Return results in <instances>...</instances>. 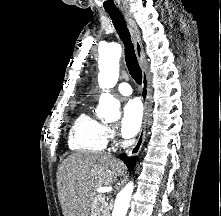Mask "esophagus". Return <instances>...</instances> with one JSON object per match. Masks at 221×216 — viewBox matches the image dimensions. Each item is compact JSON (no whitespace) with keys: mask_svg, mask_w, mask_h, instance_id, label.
Masks as SVG:
<instances>
[{"mask_svg":"<svg viewBox=\"0 0 221 216\" xmlns=\"http://www.w3.org/2000/svg\"><path fill=\"white\" fill-rule=\"evenodd\" d=\"M122 13L126 19L127 26L129 28L132 41L134 44L136 56L141 64L143 75H142V89H141V99L143 101L144 106V115H143V122L142 126L138 135L137 140L133 144V146L127 151L128 156H136L140 152L145 138V128H146V118H147V107H148V96H149V81L147 70L145 69L144 62H145V55L143 52V46L141 42V35L140 31L131 16V14L127 10H122Z\"/></svg>","mask_w":221,"mask_h":216,"instance_id":"34e87169","label":"esophagus"}]
</instances>
